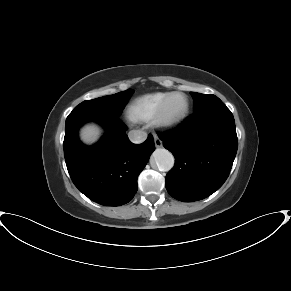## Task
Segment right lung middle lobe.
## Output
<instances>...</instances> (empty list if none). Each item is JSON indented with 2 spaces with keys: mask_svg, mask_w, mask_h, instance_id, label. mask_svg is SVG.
<instances>
[{
  "mask_svg": "<svg viewBox=\"0 0 291 291\" xmlns=\"http://www.w3.org/2000/svg\"><path fill=\"white\" fill-rule=\"evenodd\" d=\"M132 93V89L122 91L110 96H104L93 100H86L77 105L73 111L87 110L94 112L108 113L114 116H119L126 104V100Z\"/></svg>",
  "mask_w": 291,
  "mask_h": 291,
  "instance_id": "dd1d6c3e",
  "label": "right lung middle lobe"
}]
</instances>
